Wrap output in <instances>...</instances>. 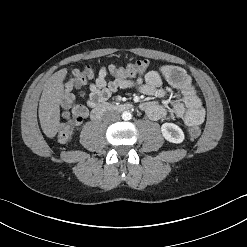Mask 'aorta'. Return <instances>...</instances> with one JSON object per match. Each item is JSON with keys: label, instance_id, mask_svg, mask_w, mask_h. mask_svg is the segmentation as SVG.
Wrapping results in <instances>:
<instances>
[{"label": "aorta", "instance_id": "1", "mask_svg": "<svg viewBox=\"0 0 247 247\" xmlns=\"http://www.w3.org/2000/svg\"><path fill=\"white\" fill-rule=\"evenodd\" d=\"M132 118V115L129 111H124L122 113V119L125 120V121H128Z\"/></svg>", "mask_w": 247, "mask_h": 247}]
</instances>
